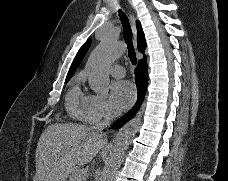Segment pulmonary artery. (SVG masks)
Masks as SVG:
<instances>
[{
	"label": "pulmonary artery",
	"mask_w": 228,
	"mask_h": 181,
	"mask_svg": "<svg viewBox=\"0 0 228 181\" xmlns=\"http://www.w3.org/2000/svg\"><path fill=\"white\" fill-rule=\"evenodd\" d=\"M112 69H113V72L116 73V74H120L119 75V78L120 79H125L126 78V75L123 74L124 73V69L122 67H119L118 65H113L112 66Z\"/></svg>",
	"instance_id": "obj_1"
}]
</instances>
